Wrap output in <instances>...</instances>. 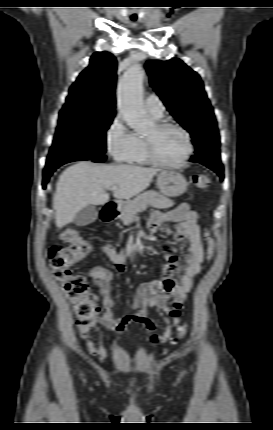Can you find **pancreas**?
<instances>
[{
  "label": "pancreas",
  "mask_w": 273,
  "mask_h": 430,
  "mask_svg": "<svg viewBox=\"0 0 273 430\" xmlns=\"http://www.w3.org/2000/svg\"><path fill=\"white\" fill-rule=\"evenodd\" d=\"M148 205L154 208H169L173 206V201L155 190H148L124 205L121 216L123 224L133 223L137 214L145 210Z\"/></svg>",
  "instance_id": "cf45deb5"
}]
</instances>
